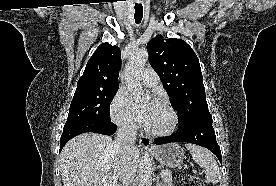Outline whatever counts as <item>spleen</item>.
<instances>
[{
  "instance_id": "3e777b00",
  "label": "spleen",
  "mask_w": 276,
  "mask_h": 186,
  "mask_svg": "<svg viewBox=\"0 0 276 186\" xmlns=\"http://www.w3.org/2000/svg\"><path fill=\"white\" fill-rule=\"evenodd\" d=\"M185 146L190 151L193 160L205 168L206 183H218L221 179V173L212 153L197 145L186 144Z\"/></svg>"
}]
</instances>
